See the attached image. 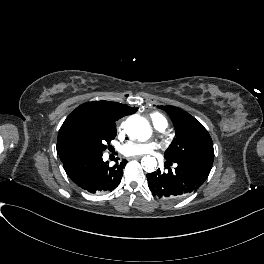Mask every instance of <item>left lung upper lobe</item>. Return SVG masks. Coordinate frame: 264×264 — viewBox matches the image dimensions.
<instances>
[{"label":"left lung upper lobe","instance_id":"left-lung-upper-lobe-1","mask_svg":"<svg viewBox=\"0 0 264 264\" xmlns=\"http://www.w3.org/2000/svg\"><path fill=\"white\" fill-rule=\"evenodd\" d=\"M172 118L175 138L165 152L164 169L154 173L169 184L190 193L207 179L213 164V143L207 130L190 114L160 106Z\"/></svg>","mask_w":264,"mask_h":264}]
</instances>
